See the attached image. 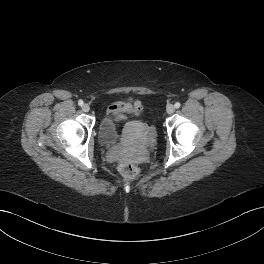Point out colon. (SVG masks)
Listing matches in <instances>:
<instances>
[{
    "mask_svg": "<svg viewBox=\"0 0 264 264\" xmlns=\"http://www.w3.org/2000/svg\"><path fill=\"white\" fill-rule=\"evenodd\" d=\"M118 170L124 177L128 179H134L138 175V168L129 162L119 163Z\"/></svg>",
    "mask_w": 264,
    "mask_h": 264,
    "instance_id": "5ec220e1",
    "label": "colon"
}]
</instances>
